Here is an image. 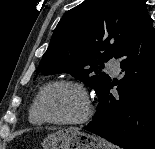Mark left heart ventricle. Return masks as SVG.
Here are the masks:
<instances>
[{
	"label": "left heart ventricle",
	"instance_id": "1",
	"mask_svg": "<svg viewBox=\"0 0 155 149\" xmlns=\"http://www.w3.org/2000/svg\"><path fill=\"white\" fill-rule=\"evenodd\" d=\"M42 107L44 112L52 119L73 120L82 115L84 102L76 88L67 85H56L45 92Z\"/></svg>",
	"mask_w": 155,
	"mask_h": 149
}]
</instances>
